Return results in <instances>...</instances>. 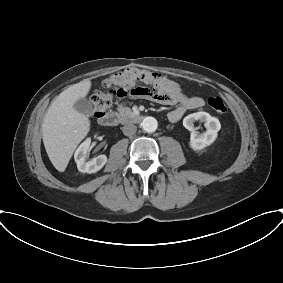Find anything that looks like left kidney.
Wrapping results in <instances>:
<instances>
[{
  "instance_id": "5707ae66",
  "label": "left kidney",
  "mask_w": 283,
  "mask_h": 283,
  "mask_svg": "<svg viewBox=\"0 0 283 283\" xmlns=\"http://www.w3.org/2000/svg\"><path fill=\"white\" fill-rule=\"evenodd\" d=\"M197 120L205 122L206 131L201 134L194 131V122ZM183 126L191 131L189 145L195 151L211 145L216 140L217 133L221 129L219 120L207 112H196L186 116L183 119Z\"/></svg>"
}]
</instances>
